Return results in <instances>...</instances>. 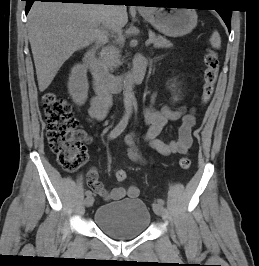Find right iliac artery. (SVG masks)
Listing matches in <instances>:
<instances>
[{
  "instance_id": "82829eb1",
  "label": "right iliac artery",
  "mask_w": 259,
  "mask_h": 266,
  "mask_svg": "<svg viewBox=\"0 0 259 266\" xmlns=\"http://www.w3.org/2000/svg\"><path fill=\"white\" fill-rule=\"evenodd\" d=\"M128 120H129V117L128 116H124L120 122L116 125V127L110 132L108 138L110 140L116 138L117 136H119L123 131L124 129L126 128L127 124H128ZM86 196L87 197H90L92 196V192L90 190H87L86 191Z\"/></svg>"
}]
</instances>
